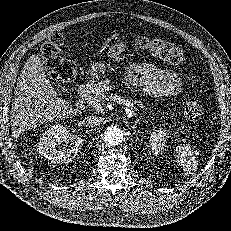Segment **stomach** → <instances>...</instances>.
<instances>
[{
    "instance_id": "1",
    "label": "stomach",
    "mask_w": 231,
    "mask_h": 231,
    "mask_svg": "<svg viewBox=\"0 0 231 231\" xmlns=\"http://www.w3.org/2000/svg\"><path fill=\"white\" fill-rule=\"evenodd\" d=\"M127 50V45L125 42L117 40L111 45H107V55L114 62L119 61L124 52ZM107 69H111V65L105 64L103 62H94L91 64L90 74L94 79H99L102 75L105 74Z\"/></svg>"
}]
</instances>
